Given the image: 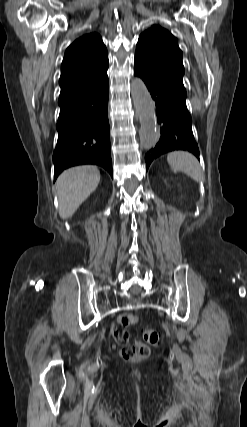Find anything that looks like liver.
Wrapping results in <instances>:
<instances>
[{
	"label": "liver",
	"instance_id": "6515ba94",
	"mask_svg": "<svg viewBox=\"0 0 247 427\" xmlns=\"http://www.w3.org/2000/svg\"><path fill=\"white\" fill-rule=\"evenodd\" d=\"M99 182L100 172L96 166H76L65 170L56 181L59 216L62 219L71 217Z\"/></svg>",
	"mask_w": 247,
	"mask_h": 427
}]
</instances>
